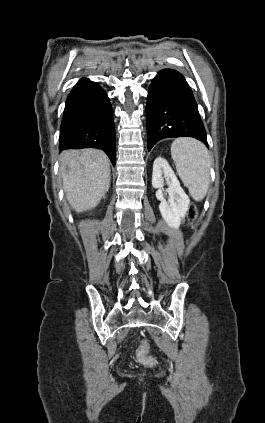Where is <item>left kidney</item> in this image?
I'll return each mask as SVG.
<instances>
[{
    "instance_id": "left-kidney-1",
    "label": "left kidney",
    "mask_w": 265,
    "mask_h": 423,
    "mask_svg": "<svg viewBox=\"0 0 265 423\" xmlns=\"http://www.w3.org/2000/svg\"><path fill=\"white\" fill-rule=\"evenodd\" d=\"M162 174L167 180L168 201L163 195ZM152 186L157 188L156 198L160 201L159 210L165 222L174 229H178L181 220L186 215L190 199L180 186L175 173L163 157H157L153 164Z\"/></svg>"
}]
</instances>
